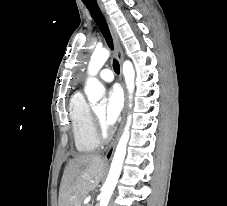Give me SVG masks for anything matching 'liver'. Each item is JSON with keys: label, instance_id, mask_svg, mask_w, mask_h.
<instances>
[{"label": "liver", "instance_id": "liver-1", "mask_svg": "<svg viewBox=\"0 0 227 206\" xmlns=\"http://www.w3.org/2000/svg\"><path fill=\"white\" fill-rule=\"evenodd\" d=\"M105 171L104 159L97 154H83L65 167L59 189L58 206H81L84 198L99 184Z\"/></svg>", "mask_w": 227, "mask_h": 206}]
</instances>
